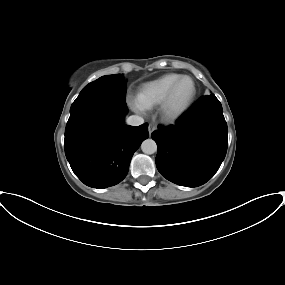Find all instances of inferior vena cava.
<instances>
[{
	"mask_svg": "<svg viewBox=\"0 0 285 285\" xmlns=\"http://www.w3.org/2000/svg\"><path fill=\"white\" fill-rule=\"evenodd\" d=\"M126 122L131 126H139L144 123V119L140 116L132 115L127 118Z\"/></svg>",
	"mask_w": 285,
	"mask_h": 285,
	"instance_id": "obj_1",
	"label": "inferior vena cava"
}]
</instances>
